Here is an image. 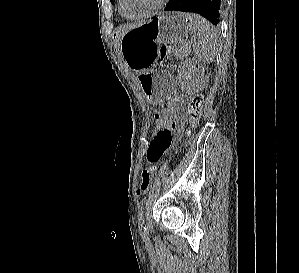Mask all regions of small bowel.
Instances as JSON below:
<instances>
[{
    "instance_id": "small-bowel-1",
    "label": "small bowel",
    "mask_w": 299,
    "mask_h": 273,
    "mask_svg": "<svg viewBox=\"0 0 299 273\" xmlns=\"http://www.w3.org/2000/svg\"><path fill=\"white\" fill-rule=\"evenodd\" d=\"M173 104L177 107L174 120L167 128L154 132L152 139L146 145V158L150 164H154L161 159L171 147L173 141L181 137L187 124L184 101L175 97L173 98Z\"/></svg>"
}]
</instances>
